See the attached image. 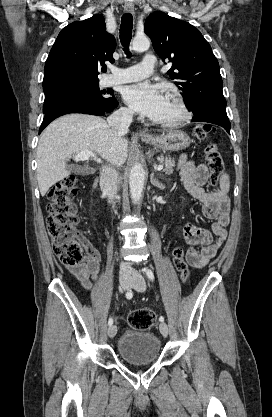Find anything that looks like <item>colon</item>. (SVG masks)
<instances>
[{
  "label": "colon",
  "mask_w": 272,
  "mask_h": 417,
  "mask_svg": "<svg viewBox=\"0 0 272 417\" xmlns=\"http://www.w3.org/2000/svg\"><path fill=\"white\" fill-rule=\"evenodd\" d=\"M215 129L207 123L198 124L194 134L198 139H206ZM205 158L210 172V181L217 184L224 171V164L218 147L209 142L205 148ZM77 193V181L68 176L54 184L48 192V234L53 242L54 253L65 265H80L84 261V252L76 233L77 216L72 199ZM173 264L183 281L189 276V268L184 259L182 247L174 249ZM152 310L141 308L132 311L128 316V324L137 330H148L155 324Z\"/></svg>",
  "instance_id": "colon-1"
}]
</instances>
